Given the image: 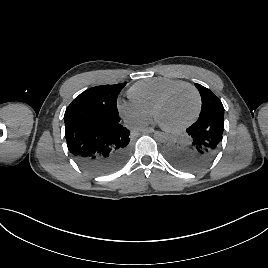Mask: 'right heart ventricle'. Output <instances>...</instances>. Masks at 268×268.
Returning <instances> with one entry per match:
<instances>
[{"mask_svg": "<svg viewBox=\"0 0 268 268\" xmlns=\"http://www.w3.org/2000/svg\"><path fill=\"white\" fill-rule=\"evenodd\" d=\"M182 83L181 80L156 77L136 82L129 89L132 102L153 113L159 98L171 87Z\"/></svg>", "mask_w": 268, "mask_h": 268, "instance_id": "1", "label": "right heart ventricle"}]
</instances>
